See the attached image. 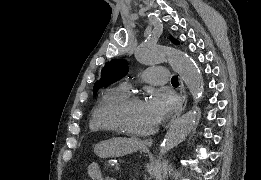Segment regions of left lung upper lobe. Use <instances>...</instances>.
I'll return each mask as SVG.
<instances>
[{"mask_svg":"<svg viewBox=\"0 0 261 180\" xmlns=\"http://www.w3.org/2000/svg\"><path fill=\"white\" fill-rule=\"evenodd\" d=\"M174 44H178V41L171 38ZM128 71L127 62L124 60H112L105 64V67L101 71V79L94 84V93L98 91L102 86H108L111 83L122 78Z\"/></svg>","mask_w":261,"mask_h":180,"instance_id":"obj_1","label":"left lung upper lobe"}]
</instances>
